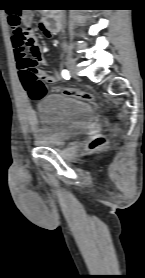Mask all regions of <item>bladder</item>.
Here are the masks:
<instances>
[{"mask_svg":"<svg viewBox=\"0 0 145 278\" xmlns=\"http://www.w3.org/2000/svg\"><path fill=\"white\" fill-rule=\"evenodd\" d=\"M37 121L41 126L34 133L33 142L49 147H60L89 127L95 120L92 106L85 100L61 93L41 99Z\"/></svg>","mask_w":145,"mask_h":278,"instance_id":"bladder-1","label":"bladder"}]
</instances>
